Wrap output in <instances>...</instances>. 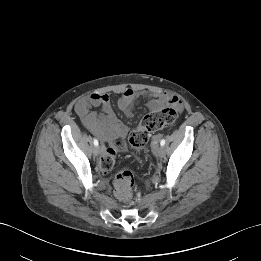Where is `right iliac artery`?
<instances>
[{
    "instance_id": "right-iliac-artery-1",
    "label": "right iliac artery",
    "mask_w": 261,
    "mask_h": 261,
    "mask_svg": "<svg viewBox=\"0 0 261 261\" xmlns=\"http://www.w3.org/2000/svg\"><path fill=\"white\" fill-rule=\"evenodd\" d=\"M93 143H94L95 146H98V144H99L97 139H94Z\"/></svg>"
}]
</instances>
